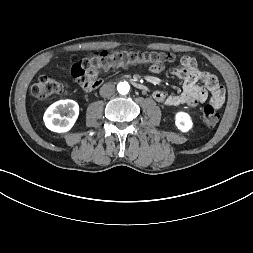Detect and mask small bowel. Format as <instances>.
<instances>
[{
    "label": "small bowel",
    "mask_w": 253,
    "mask_h": 253,
    "mask_svg": "<svg viewBox=\"0 0 253 253\" xmlns=\"http://www.w3.org/2000/svg\"><path fill=\"white\" fill-rule=\"evenodd\" d=\"M163 61H152L147 72L150 75L162 76L165 73ZM172 74L181 81V92L167 94L162 90L153 92V98L165 106L189 105L197 106L202 102H209L215 108H220L225 100V91L218 79L210 72L200 69L195 60L184 56ZM199 82L202 85H199Z\"/></svg>",
    "instance_id": "1"
}]
</instances>
